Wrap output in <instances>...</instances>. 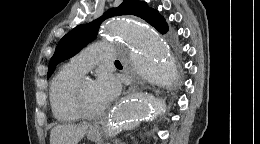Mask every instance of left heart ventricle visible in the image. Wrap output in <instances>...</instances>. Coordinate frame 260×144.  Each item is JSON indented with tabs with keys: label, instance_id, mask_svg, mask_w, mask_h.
I'll return each mask as SVG.
<instances>
[{
	"label": "left heart ventricle",
	"instance_id": "b2bd125f",
	"mask_svg": "<svg viewBox=\"0 0 260 144\" xmlns=\"http://www.w3.org/2000/svg\"><path fill=\"white\" fill-rule=\"evenodd\" d=\"M83 98L86 107L92 112L99 111L104 107L96 94L95 83L92 81L88 80L84 83Z\"/></svg>",
	"mask_w": 260,
	"mask_h": 144
}]
</instances>
